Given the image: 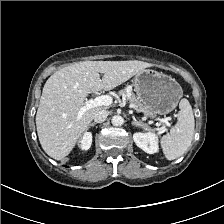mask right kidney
<instances>
[{"mask_svg": "<svg viewBox=\"0 0 224 224\" xmlns=\"http://www.w3.org/2000/svg\"><path fill=\"white\" fill-rule=\"evenodd\" d=\"M92 144V134L90 132L84 133L83 137L79 142V147L82 150H88Z\"/></svg>", "mask_w": 224, "mask_h": 224, "instance_id": "1", "label": "right kidney"}]
</instances>
